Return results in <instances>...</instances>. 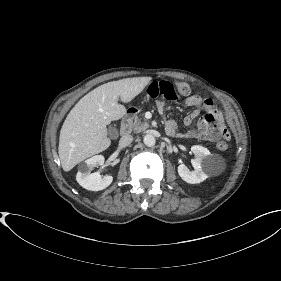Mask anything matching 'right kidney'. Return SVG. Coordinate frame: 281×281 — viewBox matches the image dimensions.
<instances>
[{"mask_svg": "<svg viewBox=\"0 0 281 281\" xmlns=\"http://www.w3.org/2000/svg\"><path fill=\"white\" fill-rule=\"evenodd\" d=\"M104 164V156L96 155L87 159L79 165V170L76 175L77 182L85 189L91 191H99L107 188L113 181V177L106 175L101 177L97 172L91 173L94 167Z\"/></svg>", "mask_w": 281, "mask_h": 281, "instance_id": "right-kidney-1", "label": "right kidney"}]
</instances>
